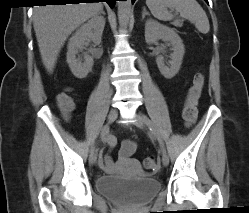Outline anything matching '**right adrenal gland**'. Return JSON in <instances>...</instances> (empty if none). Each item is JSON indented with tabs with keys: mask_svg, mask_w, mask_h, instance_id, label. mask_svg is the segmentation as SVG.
<instances>
[{
	"mask_svg": "<svg viewBox=\"0 0 249 213\" xmlns=\"http://www.w3.org/2000/svg\"><path fill=\"white\" fill-rule=\"evenodd\" d=\"M99 14H103L105 16V12L103 10V8L101 9V11L99 12Z\"/></svg>",
	"mask_w": 249,
	"mask_h": 213,
	"instance_id": "obj_1",
	"label": "right adrenal gland"
}]
</instances>
